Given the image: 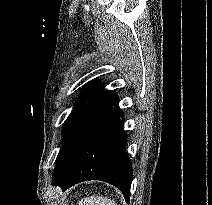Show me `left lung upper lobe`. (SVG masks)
I'll list each match as a JSON object with an SVG mask.
<instances>
[{
    "instance_id": "left-lung-upper-lobe-1",
    "label": "left lung upper lobe",
    "mask_w": 212,
    "mask_h": 205,
    "mask_svg": "<svg viewBox=\"0 0 212 205\" xmlns=\"http://www.w3.org/2000/svg\"><path fill=\"white\" fill-rule=\"evenodd\" d=\"M107 90L98 81L88 83L76 100L74 108L63 126V145L58 153L56 165L53 172V182L57 179L63 166L64 159L68 153L71 141L81 121L95 103L105 94ZM52 182V183H53Z\"/></svg>"
}]
</instances>
